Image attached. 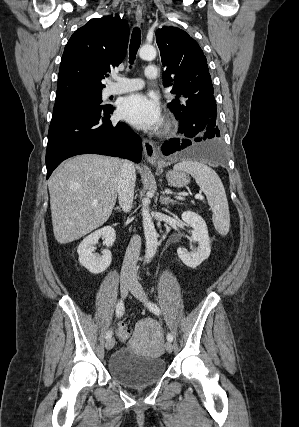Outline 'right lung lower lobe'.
Listing matches in <instances>:
<instances>
[{
    "instance_id": "obj_1",
    "label": "right lung lower lobe",
    "mask_w": 299,
    "mask_h": 427,
    "mask_svg": "<svg viewBox=\"0 0 299 427\" xmlns=\"http://www.w3.org/2000/svg\"><path fill=\"white\" fill-rule=\"evenodd\" d=\"M113 107L80 104L53 112L46 151L47 179L65 159L83 153L140 162V137L123 122L112 124Z\"/></svg>"
}]
</instances>
